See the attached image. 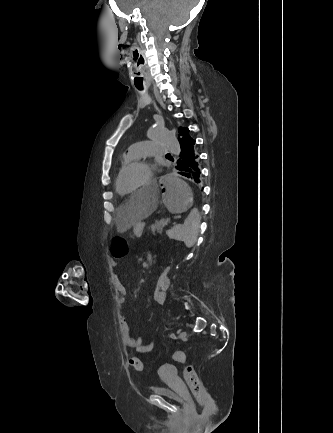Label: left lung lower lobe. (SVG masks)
Here are the masks:
<instances>
[{"label":"left lung lower lobe","mask_w":333,"mask_h":433,"mask_svg":"<svg viewBox=\"0 0 333 433\" xmlns=\"http://www.w3.org/2000/svg\"><path fill=\"white\" fill-rule=\"evenodd\" d=\"M179 143L181 151L177 159V173L191 179L195 183H200V167L195 140L184 139Z\"/></svg>","instance_id":"0a47b994"}]
</instances>
